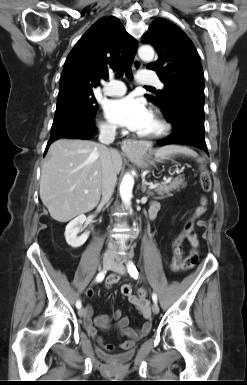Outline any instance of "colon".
<instances>
[{
  "label": "colon",
  "mask_w": 247,
  "mask_h": 385,
  "mask_svg": "<svg viewBox=\"0 0 247 385\" xmlns=\"http://www.w3.org/2000/svg\"><path fill=\"white\" fill-rule=\"evenodd\" d=\"M200 185L204 192H209L211 189V177L204 166L200 167ZM207 208V198L202 196L200 199V205L196 209V213L198 215H202ZM190 234H194L192 229H188ZM173 253H174V263L177 266H189L193 267L198 261L197 251L193 250L185 259H183V246H182V238L178 237L173 242ZM123 295H127L130 293V288L128 285H124L121 289Z\"/></svg>",
  "instance_id": "obj_1"
}]
</instances>
